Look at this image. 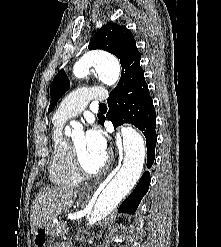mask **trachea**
Returning a JSON list of instances; mask_svg holds the SVG:
<instances>
[{
  "instance_id": "trachea-1",
  "label": "trachea",
  "mask_w": 221,
  "mask_h": 247,
  "mask_svg": "<svg viewBox=\"0 0 221 247\" xmlns=\"http://www.w3.org/2000/svg\"><path fill=\"white\" fill-rule=\"evenodd\" d=\"M99 109H100V110L107 109L106 104L101 103V104L99 105Z\"/></svg>"
}]
</instances>
